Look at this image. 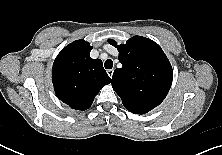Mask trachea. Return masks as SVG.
Wrapping results in <instances>:
<instances>
[{
    "label": "trachea",
    "mask_w": 222,
    "mask_h": 155,
    "mask_svg": "<svg viewBox=\"0 0 222 155\" xmlns=\"http://www.w3.org/2000/svg\"><path fill=\"white\" fill-rule=\"evenodd\" d=\"M104 67H105L106 69H112V67H113V61H112L111 59H107V60L105 61V63H104Z\"/></svg>",
    "instance_id": "obj_1"
}]
</instances>
